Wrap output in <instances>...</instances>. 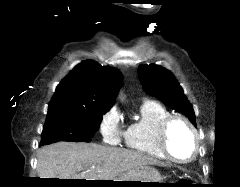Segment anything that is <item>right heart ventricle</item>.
Wrapping results in <instances>:
<instances>
[{
  "label": "right heart ventricle",
  "instance_id": "obj_1",
  "mask_svg": "<svg viewBox=\"0 0 240 187\" xmlns=\"http://www.w3.org/2000/svg\"><path fill=\"white\" fill-rule=\"evenodd\" d=\"M140 113L141 118L124 131L125 146L153 158L166 159L158 144V130L171 113L155 101L143 102Z\"/></svg>",
  "mask_w": 240,
  "mask_h": 187
}]
</instances>
